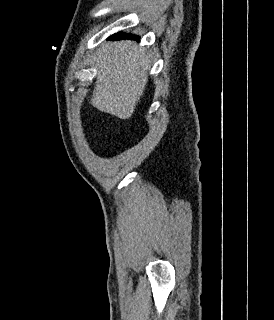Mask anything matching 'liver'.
Instances as JSON below:
<instances>
[{"instance_id":"6515ba94","label":"liver","mask_w":274,"mask_h":320,"mask_svg":"<svg viewBox=\"0 0 274 320\" xmlns=\"http://www.w3.org/2000/svg\"><path fill=\"white\" fill-rule=\"evenodd\" d=\"M90 104L120 120L131 118L148 82L149 60L135 42L102 44Z\"/></svg>"}]
</instances>
